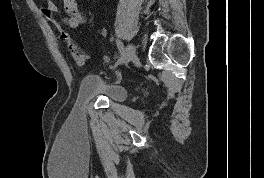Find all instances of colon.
<instances>
[{"label": "colon", "instance_id": "colon-1", "mask_svg": "<svg viewBox=\"0 0 264 178\" xmlns=\"http://www.w3.org/2000/svg\"><path fill=\"white\" fill-rule=\"evenodd\" d=\"M44 16L49 20L51 25L59 32L60 37L65 41L68 51L79 65H84L88 60V55L82 51L79 46L74 42L71 35L62 27V25L52 18V13L45 7L41 8Z\"/></svg>", "mask_w": 264, "mask_h": 178}]
</instances>
